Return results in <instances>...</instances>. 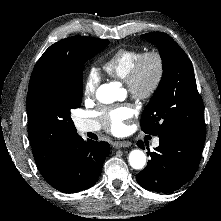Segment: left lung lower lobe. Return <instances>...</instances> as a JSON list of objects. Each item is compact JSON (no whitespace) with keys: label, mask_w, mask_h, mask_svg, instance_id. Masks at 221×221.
<instances>
[{"label":"left lung lower lobe","mask_w":221,"mask_h":221,"mask_svg":"<svg viewBox=\"0 0 221 221\" xmlns=\"http://www.w3.org/2000/svg\"><path fill=\"white\" fill-rule=\"evenodd\" d=\"M159 146L150 155L146 168L136 180L149 191L171 193L192 179L201 158L204 135L170 133L160 136ZM139 147L144 143L138 141Z\"/></svg>","instance_id":"1"}]
</instances>
